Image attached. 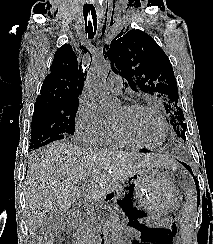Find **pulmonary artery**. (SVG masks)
<instances>
[{
	"mask_svg": "<svg viewBox=\"0 0 213 244\" xmlns=\"http://www.w3.org/2000/svg\"><path fill=\"white\" fill-rule=\"evenodd\" d=\"M105 88L110 93L121 94L123 90L122 77L118 74H112L108 77Z\"/></svg>",
	"mask_w": 213,
	"mask_h": 244,
	"instance_id": "pulmonary-artery-1",
	"label": "pulmonary artery"
}]
</instances>
